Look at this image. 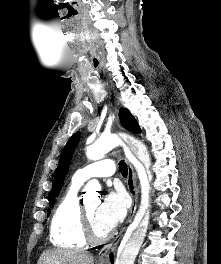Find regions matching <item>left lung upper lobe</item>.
<instances>
[{"instance_id":"1","label":"left lung upper lobe","mask_w":221,"mask_h":264,"mask_svg":"<svg viewBox=\"0 0 221 264\" xmlns=\"http://www.w3.org/2000/svg\"><path fill=\"white\" fill-rule=\"evenodd\" d=\"M120 120L122 125L129 131H132L134 133H140V128L134 119V117L131 115V113L125 109L121 108L120 109ZM80 132L75 133L67 142L66 146L62 150L60 160L58 167L55 171L54 174V181H53V186L52 190L50 191L49 194V207L52 208L56 202V196L58 195L64 178L67 174V171L70 166V161L73 155V152L79 142L80 139ZM50 209L47 210V215L50 214Z\"/></svg>"}]
</instances>
